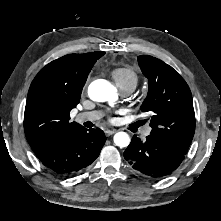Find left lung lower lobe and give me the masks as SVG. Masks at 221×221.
Instances as JSON below:
<instances>
[{"instance_id": "1", "label": "left lung lower lobe", "mask_w": 221, "mask_h": 221, "mask_svg": "<svg viewBox=\"0 0 221 221\" xmlns=\"http://www.w3.org/2000/svg\"><path fill=\"white\" fill-rule=\"evenodd\" d=\"M184 157L185 154L151 135L147 136L144 142L134 136L124 152V158L133 169L153 179L171 174Z\"/></svg>"}]
</instances>
